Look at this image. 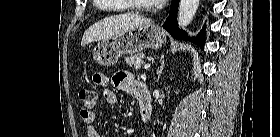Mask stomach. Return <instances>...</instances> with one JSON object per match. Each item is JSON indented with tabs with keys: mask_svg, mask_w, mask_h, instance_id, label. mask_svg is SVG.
I'll list each match as a JSON object with an SVG mask.
<instances>
[{
	"mask_svg": "<svg viewBox=\"0 0 280 137\" xmlns=\"http://www.w3.org/2000/svg\"><path fill=\"white\" fill-rule=\"evenodd\" d=\"M165 41V31L151 23L101 40L94 47L93 57L98 64L111 66L117 63L123 54H136L146 48L158 49Z\"/></svg>",
	"mask_w": 280,
	"mask_h": 137,
	"instance_id": "stomach-1",
	"label": "stomach"
}]
</instances>
